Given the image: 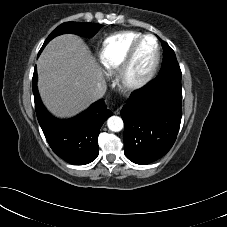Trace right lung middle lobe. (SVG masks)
Wrapping results in <instances>:
<instances>
[{"label":"right lung middle lobe","instance_id":"obj_1","mask_svg":"<svg viewBox=\"0 0 227 227\" xmlns=\"http://www.w3.org/2000/svg\"><path fill=\"white\" fill-rule=\"evenodd\" d=\"M101 28V24L85 23V22H65L59 25L45 40L40 52L47 45V43L54 37L65 34L73 33L84 37H92Z\"/></svg>","mask_w":227,"mask_h":227}]
</instances>
